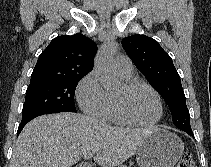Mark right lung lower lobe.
<instances>
[{
	"label": "right lung lower lobe",
	"mask_w": 211,
	"mask_h": 167,
	"mask_svg": "<svg viewBox=\"0 0 211 167\" xmlns=\"http://www.w3.org/2000/svg\"><path fill=\"white\" fill-rule=\"evenodd\" d=\"M51 113H58V112H51ZM46 114H50V113H46ZM41 115H44V114H41ZM37 116H40V115H37ZM37 116H33V117L27 118V119H25V120H22L21 123L19 124V127H18L17 136L20 134V132L22 131L23 127H24L29 121H31L32 119H34V118L37 117Z\"/></svg>",
	"instance_id": "obj_1"
}]
</instances>
